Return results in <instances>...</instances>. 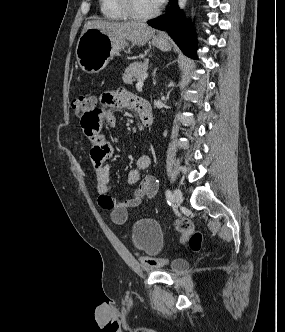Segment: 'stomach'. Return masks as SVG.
Segmentation results:
<instances>
[{
  "instance_id": "1",
  "label": "stomach",
  "mask_w": 285,
  "mask_h": 332,
  "mask_svg": "<svg viewBox=\"0 0 285 332\" xmlns=\"http://www.w3.org/2000/svg\"><path fill=\"white\" fill-rule=\"evenodd\" d=\"M153 46L162 51H169L171 44L162 36H153ZM127 46L126 40L111 36L104 31L89 28L82 32L76 46V58L81 69L88 74L103 70L109 61Z\"/></svg>"
}]
</instances>
